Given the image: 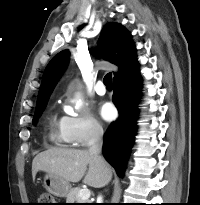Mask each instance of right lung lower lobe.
Instances as JSON below:
<instances>
[{"label": "right lung lower lobe", "instance_id": "right-lung-lower-lobe-1", "mask_svg": "<svg viewBox=\"0 0 200 205\" xmlns=\"http://www.w3.org/2000/svg\"><path fill=\"white\" fill-rule=\"evenodd\" d=\"M113 102L118 108L119 119L106 131L103 142V154L115 168L119 177L123 176L126 161L135 137L136 120L139 113L137 108L141 78L136 63L123 75L113 79Z\"/></svg>", "mask_w": 200, "mask_h": 205}]
</instances>
